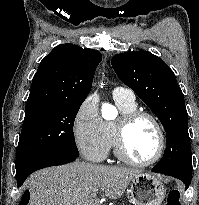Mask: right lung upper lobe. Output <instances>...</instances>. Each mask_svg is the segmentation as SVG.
Here are the masks:
<instances>
[{
  "mask_svg": "<svg viewBox=\"0 0 199 205\" xmlns=\"http://www.w3.org/2000/svg\"><path fill=\"white\" fill-rule=\"evenodd\" d=\"M101 60L99 51L70 43L53 48L33 77L26 111L50 104L84 101Z\"/></svg>",
  "mask_w": 199,
  "mask_h": 205,
  "instance_id": "cb5924a9",
  "label": "right lung upper lobe"
}]
</instances>
